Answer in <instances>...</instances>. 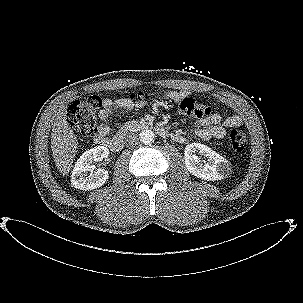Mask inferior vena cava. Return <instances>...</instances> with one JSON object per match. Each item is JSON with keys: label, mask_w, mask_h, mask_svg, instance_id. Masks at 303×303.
Listing matches in <instances>:
<instances>
[{"label": "inferior vena cava", "mask_w": 303, "mask_h": 303, "mask_svg": "<svg viewBox=\"0 0 303 303\" xmlns=\"http://www.w3.org/2000/svg\"><path fill=\"white\" fill-rule=\"evenodd\" d=\"M138 140H139L138 135L133 132H129L125 138L126 144L129 147H133V146L137 145Z\"/></svg>", "instance_id": "inferior-vena-cava-1"}]
</instances>
